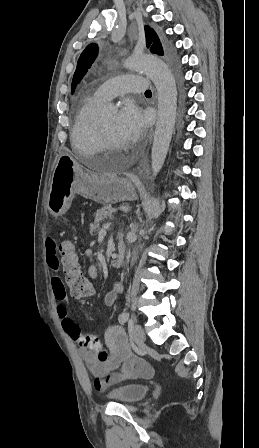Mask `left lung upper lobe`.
Returning a JSON list of instances; mask_svg holds the SVG:
<instances>
[{
	"instance_id": "5c2ea615",
	"label": "left lung upper lobe",
	"mask_w": 259,
	"mask_h": 448,
	"mask_svg": "<svg viewBox=\"0 0 259 448\" xmlns=\"http://www.w3.org/2000/svg\"><path fill=\"white\" fill-rule=\"evenodd\" d=\"M145 34L147 39V47L150 48V51L154 54L163 56L164 55L163 48L156 32L153 29H150L149 26H145ZM97 54H98V46L92 43L88 45L80 55V58L77 63V68L73 76L72 92L76 84H78L82 79V77L86 74L88 68L91 67Z\"/></svg>"
}]
</instances>
